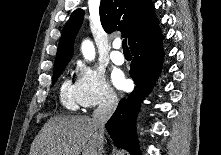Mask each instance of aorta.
<instances>
[{
	"label": "aorta",
	"instance_id": "obj_1",
	"mask_svg": "<svg viewBox=\"0 0 221 155\" xmlns=\"http://www.w3.org/2000/svg\"><path fill=\"white\" fill-rule=\"evenodd\" d=\"M82 53L87 60H93L95 57V48L91 41L85 40L82 44Z\"/></svg>",
	"mask_w": 221,
	"mask_h": 155
}]
</instances>
